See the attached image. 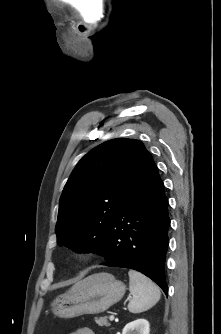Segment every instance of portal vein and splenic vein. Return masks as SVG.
Here are the masks:
<instances>
[{"mask_svg":"<svg viewBox=\"0 0 221 334\" xmlns=\"http://www.w3.org/2000/svg\"><path fill=\"white\" fill-rule=\"evenodd\" d=\"M109 319H110V321H113V320H114V316H113V315H110V316H109Z\"/></svg>","mask_w":221,"mask_h":334,"instance_id":"portal-vein-and-splenic-vein-1","label":"portal vein and splenic vein"}]
</instances>
